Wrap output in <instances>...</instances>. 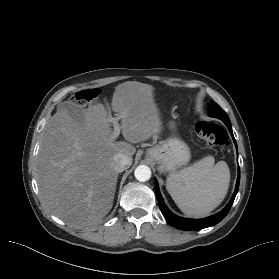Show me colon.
I'll return each instance as SVG.
<instances>
[{"instance_id": "5ec220e1", "label": "colon", "mask_w": 279, "mask_h": 279, "mask_svg": "<svg viewBox=\"0 0 279 279\" xmlns=\"http://www.w3.org/2000/svg\"><path fill=\"white\" fill-rule=\"evenodd\" d=\"M99 94L97 89L85 90L77 96V100L89 102L95 99ZM197 136L208 146L225 147L229 143V136L224 127L217 123L200 121L195 124Z\"/></svg>"}]
</instances>
